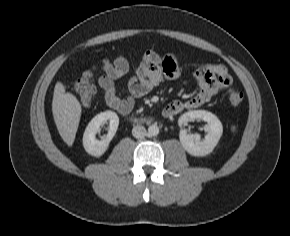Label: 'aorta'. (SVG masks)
I'll return each instance as SVG.
<instances>
[{"label":"aorta","mask_w":290,"mask_h":236,"mask_svg":"<svg viewBox=\"0 0 290 236\" xmlns=\"http://www.w3.org/2000/svg\"><path fill=\"white\" fill-rule=\"evenodd\" d=\"M148 134L150 136H157L159 134V127L156 124H152L148 127Z\"/></svg>","instance_id":"obj_1"}]
</instances>
